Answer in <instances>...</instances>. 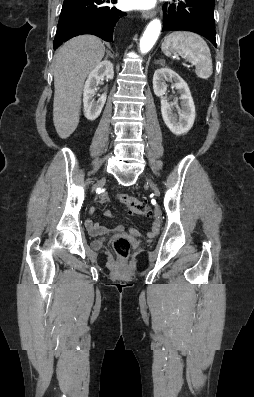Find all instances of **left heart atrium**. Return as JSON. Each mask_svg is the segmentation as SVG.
I'll list each match as a JSON object with an SVG mask.
<instances>
[{
    "label": "left heart atrium",
    "instance_id": "left-heart-atrium-1",
    "mask_svg": "<svg viewBox=\"0 0 254 397\" xmlns=\"http://www.w3.org/2000/svg\"><path fill=\"white\" fill-rule=\"evenodd\" d=\"M156 0H128V4L132 8L146 9L155 4Z\"/></svg>",
    "mask_w": 254,
    "mask_h": 397
}]
</instances>
